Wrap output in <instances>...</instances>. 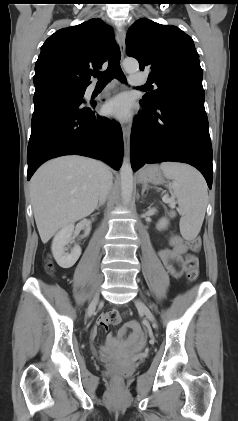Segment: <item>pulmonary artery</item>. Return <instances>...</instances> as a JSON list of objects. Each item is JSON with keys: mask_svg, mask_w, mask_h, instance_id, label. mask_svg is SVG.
I'll use <instances>...</instances> for the list:
<instances>
[{"mask_svg": "<svg viewBox=\"0 0 238 421\" xmlns=\"http://www.w3.org/2000/svg\"><path fill=\"white\" fill-rule=\"evenodd\" d=\"M145 82V79H144V77L141 75V74H139V73H134V74H131L130 75V83L131 84H133V85H141V84H143ZM94 89H95V85H91L89 88H88V91L89 92H92V91H94Z\"/></svg>", "mask_w": 238, "mask_h": 421, "instance_id": "e3ab8cb5", "label": "pulmonary artery"}]
</instances>
